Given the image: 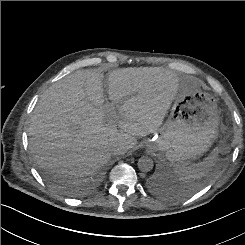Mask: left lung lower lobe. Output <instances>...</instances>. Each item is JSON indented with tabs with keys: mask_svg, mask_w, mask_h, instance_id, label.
<instances>
[{
	"mask_svg": "<svg viewBox=\"0 0 245 245\" xmlns=\"http://www.w3.org/2000/svg\"><path fill=\"white\" fill-rule=\"evenodd\" d=\"M150 190L157 192L161 197L167 199L182 198L187 193V188L182 183L175 184L170 178L163 174H158L148 182Z\"/></svg>",
	"mask_w": 245,
	"mask_h": 245,
	"instance_id": "1",
	"label": "left lung lower lobe"
}]
</instances>
